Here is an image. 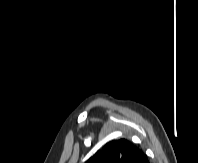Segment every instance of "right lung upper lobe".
<instances>
[{"label":"right lung upper lobe","mask_w":198,"mask_h":163,"mask_svg":"<svg viewBox=\"0 0 198 163\" xmlns=\"http://www.w3.org/2000/svg\"><path fill=\"white\" fill-rule=\"evenodd\" d=\"M85 163H149L145 154L127 139L105 144Z\"/></svg>","instance_id":"1"}]
</instances>
